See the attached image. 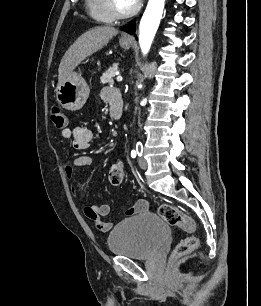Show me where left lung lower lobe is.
<instances>
[{
	"mask_svg": "<svg viewBox=\"0 0 261 306\" xmlns=\"http://www.w3.org/2000/svg\"><path fill=\"white\" fill-rule=\"evenodd\" d=\"M135 28H136V24L135 22H132L128 25H125L123 27H121V29L127 33H130V34H134L135 33Z\"/></svg>",
	"mask_w": 261,
	"mask_h": 306,
	"instance_id": "left-lung-lower-lobe-1",
	"label": "left lung lower lobe"
}]
</instances>
